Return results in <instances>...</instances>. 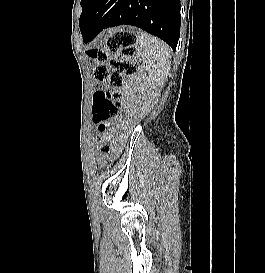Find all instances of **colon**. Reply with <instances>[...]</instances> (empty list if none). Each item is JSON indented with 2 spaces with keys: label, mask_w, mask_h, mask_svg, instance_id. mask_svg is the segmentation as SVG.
<instances>
[{
  "label": "colon",
  "mask_w": 265,
  "mask_h": 273,
  "mask_svg": "<svg viewBox=\"0 0 265 273\" xmlns=\"http://www.w3.org/2000/svg\"><path fill=\"white\" fill-rule=\"evenodd\" d=\"M137 50L136 35L127 31H119L107 37L104 47H95L87 51L88 56L98 62L94 68L95 80L108 81L113 87L112 90L97 91L93 96L92 120L99 127L96 129L97 136L94 144L103 157L113 148L111 129L106 127L109 121L120 113L119 98L122 95L120 87L125 76L136 72L132 58ZM109 55H112L110 58L111 74L104 64Z\"/></svg>",
  "instance_id": "1"
}]
</instances>
